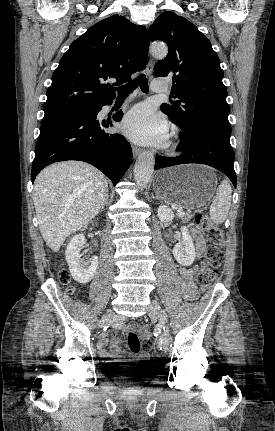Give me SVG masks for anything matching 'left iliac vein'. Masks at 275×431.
Returning <instances> with one entry per match:
<instances>
[{
    "label": "left iliac vein",
    "instance_id": "left-iliac-vein-1",
    "mask_svg": "<svg viewBox=\"0 0 275 431\" xmlns=\"http://www.w3.org/2000/svg\"><path fill=\"white\" fill-rule=\"evenodd\" d=\"M148 315L150 316L151 319L155 321H159V326L164 329L163 335H162V339H163L162 347L164 350H168L171 343V337L168 331L165 330V327H164L165 321L162 315V310L159 303L156 300L151 301V306L148 311Z\"/></svg>",
    "mask_w": 275,
    "mask_h": 431
}]
</instances>
